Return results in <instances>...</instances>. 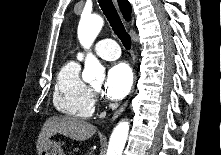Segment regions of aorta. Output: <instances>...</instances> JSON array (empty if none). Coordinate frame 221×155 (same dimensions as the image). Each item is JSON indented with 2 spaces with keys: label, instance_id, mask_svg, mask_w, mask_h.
I'll use <instances>...</instances> for the list:
<instances>
[{
  "label": "aorta",
  "instance_id": "1",
  "mask_svg": "<svg viewBox=\"0 0 221 155\" xmlns=\"http://www.w3.org/2000/svg\"><path fill=\"white\" fill-rule=\"evenodd\" d=\"M103 26V19L98 15L82 17L78 26V38L81 45L89 49ZM85 81L94 79L103 81L105 69L99 60L89 53L85 60V68L82 74ZM129 132V122L120 121L114 128L108 145L107 155H122Z\"/></svg>",
  "mask_w": 221,
  "mask_h": 155
}]
</instances>
